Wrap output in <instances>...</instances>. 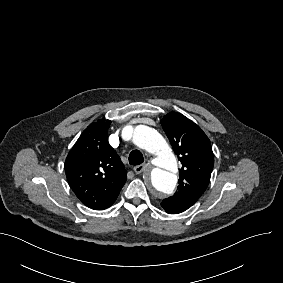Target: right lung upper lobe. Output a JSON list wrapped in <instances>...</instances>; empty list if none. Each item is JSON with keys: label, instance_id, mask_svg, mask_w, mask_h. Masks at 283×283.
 <instances>
[{"label": "right lung upper lobe", "instance_id": "cb5924a9", "mask_svg": "<svg viewBox=\"0 0 283 283\" xmlns=\"http://www.w3.org/2000/svg\"><path fill=\"white\" fill-rule=\"evenodd\" d=\"M111 121L100 119L88 126L70 150L65 161L68 183L87 207H110L126 182L127 171L108 143Z\"/></svg>", "mask_w": 283, "mask_h": 283}]
</instances>
